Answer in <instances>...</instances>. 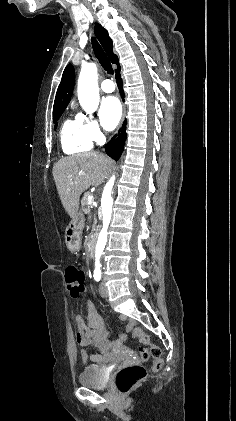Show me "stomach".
I'll return each mask as SVG.
<instances>
[{
    "label": "stomach",
    "instance_id": "obj_1",
    "mask_svg": "<svg viewBox=\"0 0 236 421\" xmlns=\"http://www.w3.org/2000/svg\"><path fill=\"white\" fill-rule=\"evenodd\" d=\"M83 223L82 215H76L75 219H72L70 225H68L65 231V243L69 251H79L81 247Z\"/></svg>",
    "mask_w": 236,
    "mask_h": 421
}]
</instances>
